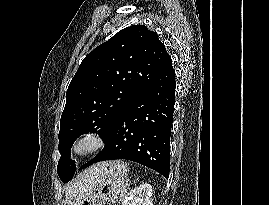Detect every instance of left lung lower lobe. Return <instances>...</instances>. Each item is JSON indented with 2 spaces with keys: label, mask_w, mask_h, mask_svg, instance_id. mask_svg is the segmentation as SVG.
<instances>
[{
  "label": "left lung lower lobe",
  "mask_w": 269,
  "mask_h": 205,
  "mask_svg": "<svg viewBox=\"0 0 269 205\" xmlns=\"http://www.w3.org/2000/svg\"><path fill=\"white\" fill-rule=\"evenodd\" d=\"M175 88L169 57L157 77L114 123L104 138V149L79 170L99 161L127 159L168 178Z\"/></svg>",
  "instance_id": "0a47b994"
}]
</instances>
